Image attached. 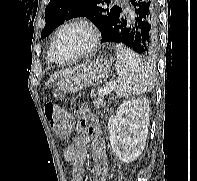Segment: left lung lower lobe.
<instances>
[{
	"label": "left lung lower lobe",
	"mask_w": 197,
	"mask_h": 181,
	"mask_svg": "<svg viewBox=\"0 0 197 181\" xmlns=\"http://www.w3.org/2000/svg\"><path fill=\"white\" fill-rule=\"evenodd\" d=\"M129 1V12L122 9L102 37V42L120 43L150 57L156 53L158 44L157 0Z\"/></svg>",
	"instance_id": "left-lung-lower-lobe-1"
}]
</instances>
